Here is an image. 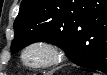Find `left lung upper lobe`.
Returning a JSON list of instances; mask_svg holds the SVG:
<instances>
[{
	"instance_id": "left-lung-upper-lobe-1",
	"label": "left lung upper lobe",
	"mask_w": 107,
	"mask_h": 75,
	"mask_svg": "<svg viewBox=\"0 0 107 75\" xmlns=\"http://www.w3.org/2000/svg\"><path fill=\"white\" fill-rule=\"evenodd\" d=\"M97 5L89 0H22L14 21L11 51L46 41L61 47L67 55H82L86 44L78 40L80 25Z\"/></svg>"
}]
</instances>
